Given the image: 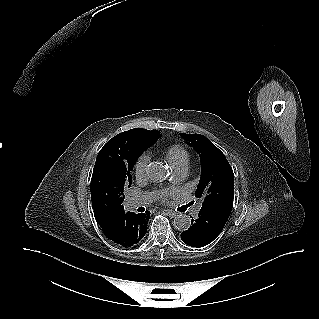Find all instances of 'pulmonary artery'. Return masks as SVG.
<instances>
[{
    "label": "pulmonary artery",
    "instance_id": "1",
    "mask_svg": "<svg viewBox=\"0 0 319 319\" xmlns=\"http://www.w3.org/2000/svg\"><path fill=\"white\" fill-rule=\"evenodd\" d=\"M187 169H188V165H186V164L177 167V168L175 169L176 175H177L178 177L184 176L185 173H186V171H187ZM145 203H146V199H145V198H138V197H133V198H131L130 201H129V205H130L132 208H136V207L141 206V205H143V204H145ZM199 210H200V206H197V207L195 208V212L198 213Z\"/></svg>",
    "mask_w": 319,
    "mask_h": 319
}]
</instances>
